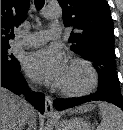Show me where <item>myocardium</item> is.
<instances>
[{
	"label": "myocardium",
	"mask_w": 123,
	"mask_h": 130,
	"mask_svg": "<svg viewBox=\"0 0 123 130\" xmlns=\"http://www.w3.org/2000/svg\"><path fill=\"white\" fill-rule=\"evenodd\" d=\"M69 65L79 66L85 69L89 74V81L86 86L82 88H66L62 86H57L59 93L66 97H82L91 94L98 85L99 77L96 69L91 63L82 58H73L70 60Z\"/></svg>",
	"instance_id": "1"
}]
</instances>
